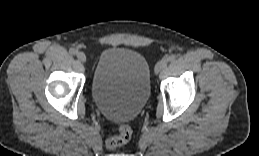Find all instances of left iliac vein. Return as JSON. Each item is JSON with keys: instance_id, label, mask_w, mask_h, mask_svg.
<instances>
[{"instance_id": "left-iliac-vein-1", "label": "left iliac vein", "mask_w": 259, "mask_h": 156, "mask_svg": "<svg viewBox=\"0 0 259 156\" xmlns=\"http://www.w3.org/2000/svg\"><path fill=\"white\" fill-rule=\"evenodd\" d=\"M167 59H162L159 62H157L156 66H155V73L158 74L160 73L162 70H164L167 66Z\"/></svg>"}]
</instances>
